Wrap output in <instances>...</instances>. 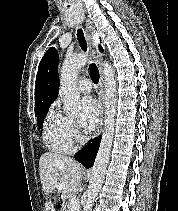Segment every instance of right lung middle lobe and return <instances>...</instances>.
Wrapping results in <instances>:
<instances>
[{"label": "right lung middle lobe", "instance_id": "dd1d6c3e", "mask_svg": "<svg viewBox=\"0 0 178 211\" xmlns=\"http://www.w3.org/2000/svg\"><path fill=\"white\" fill-rule=\"evenodd\" d=\"M47 112H48V109H44V110L35 114V116H37L38 127H42V124H43V121H44V118H45Z\"/></svg>", "mask_w": 178, "mask_h": 211}]
</instances>
